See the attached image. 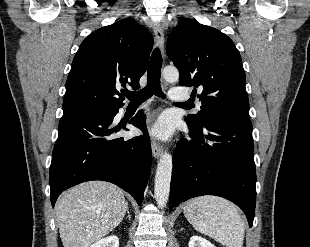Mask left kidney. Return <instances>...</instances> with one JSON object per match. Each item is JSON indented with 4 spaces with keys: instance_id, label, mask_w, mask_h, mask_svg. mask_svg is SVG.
Masks as SVG:
<instances>
[{
    "instance_id": "1",
    "label": "left kidney",
    "mask_w": 310,
    "mask_h": 247,
    "mask_svg": "<svg viewBox=\"0 0 310 247\" xmlns=\"http://www.w3.org/2000/svg\"><path fill=\"white\" fill-rule=\"evenodd\" d=\"M188 245L189 247H216L214 244L201 236H192Z\"/></svg>"
}]
</instances>
